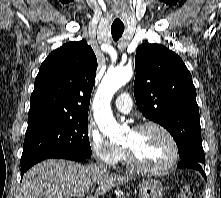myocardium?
<instances>
[{"label":"myocardium","instance_id":"1","mask_svg":"<svg viewBox=\"0 0 221 198\" xmlns=\"http://www.w3.org/2000/svg\"><path fill=\"white\" fill-rule=\"evenodd\" d=\"M148 128H155L161 131L169 140L170 145H171V156L168 159V161L165 164L158 166V167H147V166L140 164L137 161V159L135 158L130 148L123 146L125 160L128 166L137 172L144 173V174H152V175L163 174L169 171L171 168H173L174 165L176 164L178 157H179V146L174 135L164 125L155 121H146V122L140 123L136 125L135 127H133L132 131L137 133Z\"/></svg>","mask_w":221,"mask_h":198}]
</instances>
